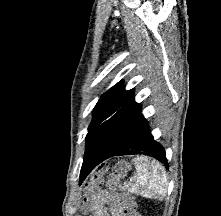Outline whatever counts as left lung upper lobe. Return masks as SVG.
Listing matches in <instances>:
<instances>
[{
	"instance_id": "5c2ea615",
	"label": "left lung upper lobe",
	"mask_w": 221,
	"mask_h": 216,
	"mask_svg": "<svg viewBox=\"0 0 221 216\" xmlns=\"http://www.w3.org/2000/svg\"><path fill=\"white\" fill-rule=\"evenodd\" d=\"M94 110L86 136V151L99 145L119 151L146 121L140 104L134 100L133 89L125 91L122 82L105 92Z\"/></svg>"
}]
</instances>
